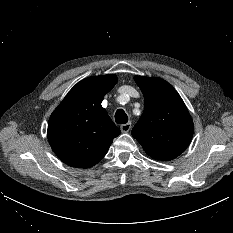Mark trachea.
<instances>
[{
	"mask_svg": "<svg viewBox=\"0 0 233 233\" xmlns=\"http://www.w3.org/2000/svg\"><path fill=\"white\" fill-rule=\"evenodd\" d=\"M115 121L118 124H125L128 122V117L123 109H118L115 113Z\"/></svg>",
	"mask_w": 233,
	"mask_h": 233,
	"instance_id": "trachea-1",
	"label": "trachea"
}]
</instances>
